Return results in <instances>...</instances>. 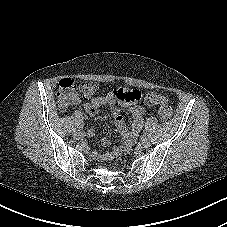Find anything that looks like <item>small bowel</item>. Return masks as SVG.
Listing matches in <instances>:
<instances>
[{"label":"small bowel","instance_id":"c3829d8e","mask_svg":"<svg viewBox=\"0 0 227 227\" xmlns=\"http://www.w3.org/2000/svg\"><path fill=\"white\" fill-rule=\"evenodd\" d=\"M139 100L140 93L137 90L114 89L105 96H97L91 101L84 103L83 108L88 115L94 117L98 114L101 107H109L113 112L118 131L130 143L138 136L143 127L145 109L141 105L136 104ZM121 109L126 110L133 117L131 130L126 127L124 118L121 115ZM90 133L92 134L93 130ZM103 144L108 145V140H103ZM115 154L116 151L112 150L107 153V156L113 157Z\"/></svg>","mask_w":227,"mask_h":227}]
</instances>
